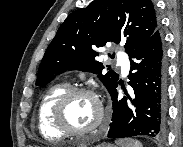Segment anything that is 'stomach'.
<instances>
[{
	"instance_id": "0dacf381",
	"label": "stomach",
	"mask_w": 183,
	"mask_h": 147,
	"mask_svg": "<svg viewBox=\"0 0 183 147\" xmlns=\"http://www.w3.org/2000/svg\"><path fill=\"white\" fill-rule=\"evenodd\" d=\"M95 147H116L110 143H101V144H98L96 145Z\"/></svg>"
}]
</instances>
